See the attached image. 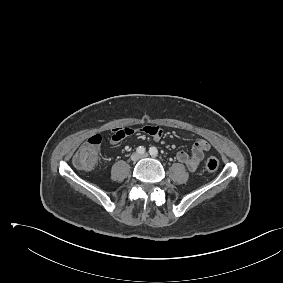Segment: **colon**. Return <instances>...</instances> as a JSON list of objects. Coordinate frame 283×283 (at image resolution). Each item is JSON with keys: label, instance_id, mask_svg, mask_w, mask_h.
I'll list each match as a JSON object with an SVG mask.
<instances>
[{"label": "colon", "instance_id": "colon-1", "mask_svg": "<svg viewBox=\"0 0 283 283\" xmlns=\"http://www.w3.org/2000/svg\"><path fill=\"white\" fill-rule=\"evenodd\" d=\"M100 143L101 137L99 135L90 137L75 153L73 157L74 165L83 170L93 169L96 165ZM205 167L208 171L214 172L219 167V160L211 156L206 160Z\"/></svg>", "mask_w": 283, "mask_h": 283}]
</instances>
